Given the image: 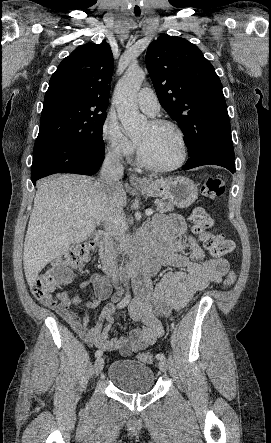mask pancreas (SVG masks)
Wrapping results in <instances>:
<instances>
[{
	"label": "pancreas",
	"instance_id": "pancreas-1",
	"mask_svg": "<svg viewBox=\"0 0 271 443\" xmlns=\"http://www.w3.org/2000/svg\"><path fill=\"white\" fill-rule=\"evenodd\" d=\"M155 204L157 206L156 212H160V214H164V212H171V210H174V206L173 204H171V202H164V200H156ZM119 247L120 251H127L128 247H130L128 239H124V237H122ZM100 253L102 255L103 251H100Z\"/></svg>",
	"mask_w": 271,
	"mask_h": 443
}]
</instances>
